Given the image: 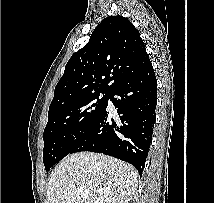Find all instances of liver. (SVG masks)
<instances>
[{
  "label": "liver",
  "mask_w": 214,
  "mask_h": 203,
  "mask_svg": "<svg viewBox=\"0 0 214 203\" xmlns=\"http://www.w3.org/2000/svg\"><path fill=\"white\" fill-rule=\"evenodd\" d=\"M138 172L116 158L80 152L64 158L47 184L49 203H128L136 191ZM89 192L83 198L76 191Z\"/></svg>",
  "instance_id": "6515ba94"
}]
</instances>
